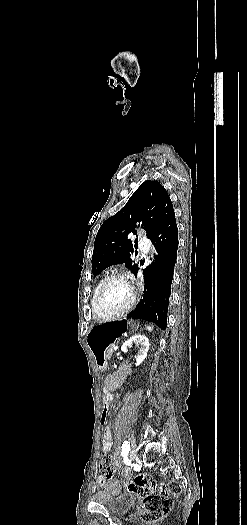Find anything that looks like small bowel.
Returning <instances> with one entry per match:
<instances>
[{
	"mask_svg": "<svg viewBox=\"0 0 247 525\" xmlns=\"http://www.w3.org/2000/svg\"><path fill=\"white\" fill-rule=\"evenodd\" d=\"M115 397H116V395L114 393H111V392H106L105 395H104V399H109L110 402H112L115 399ZM104 425H106V424H104ZM102 450H103L104 453H110L112 451V431H111V428L108 425H106L104 427V429H103ZM112 459H113V462H114V464L116 466L121 465L122 457H121V452H120V450L118 448L113 451ZM97 484L100 485V486H105L106 485L105 478L98 477L97 478Z\"/></svg>",
	"mask_w": 247,
	"mask_h": 525,
	"instance_id": "small-bowel-1",
	"label": "small bowel"
}]
</instances>
